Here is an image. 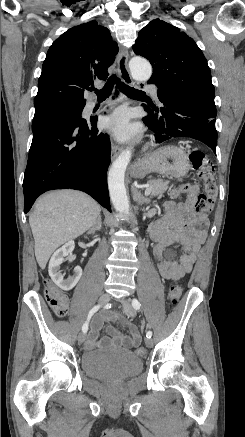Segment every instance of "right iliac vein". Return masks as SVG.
Instances as JSON below:
<instances>
[{"label":"right iliac vein","instance_id":"obj_1","mask_svg":"<svg viewBox=\"0 0 245 437\" xmlns=\"http://www.w3.org/2000/svg\"><path fill=\"white\" fill-rule=\"evenodd\" d=\"M110 298H111V297H110L109 294L104 293V294H102V295L100 296V298H99V300H98V303H99L100 305L106 304L107 302L110 301ZM84 340H85V334H84V333H80V334L78 335V342H79L80 344H82V343L84 342Z\"/></svg>","mask_w":245,"mask_h":437}]
</instances>
